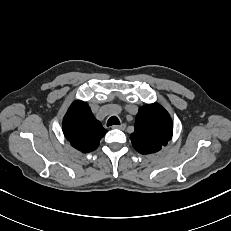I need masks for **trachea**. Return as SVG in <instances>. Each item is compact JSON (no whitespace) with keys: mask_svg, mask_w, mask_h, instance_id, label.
I'll list each match as a JSON object with an SVG mask.
<instances>
[{"mask_svg":"<svg viewBox=\"0 0 231 231\" xmlns=\"http://www.w3.org/2000/svg\"><path fill=\"white\" fill-rule=\"evenodd\" d=\"M120 125V121L116 116H112L107 121V126Z\"/></svg>","mask_w":231,"mask_h":231,"instance_id":"obj_1","label":"trachea"}]
</instances>
